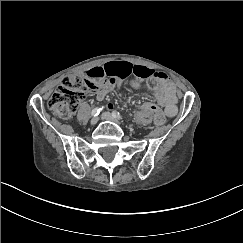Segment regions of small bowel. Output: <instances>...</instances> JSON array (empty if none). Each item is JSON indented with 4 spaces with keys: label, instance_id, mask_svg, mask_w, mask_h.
I'll use <instances>...</instances> for the list:
<instances>
[{
    "label": "small bowel",
    "instance_id": "small-bowel-1",
    "mask_svg": "<svg viewBox=\"0 0 243 243\" xmlns=\"http://www.w3.org/2000/svg\"><path fill=\"white\" fill-rule=\"evenodd\" d=\"M100 75L99 85L96 87V98L103 100L114 85L133 74L138 78H153L161 82V89L156 93V99L163 107L167 116L173 117L177 114V97L175 87L164 73L156 72L145 66L133 65L126 61L110 62L104 66L94 67L87 71V76Z\"/></svg>",
    "mask_w": 243,
    "mask_h": 243
}]
</instances>
